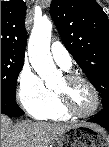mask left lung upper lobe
<instances>
[{
    "label": "left lung upper lobe",
    "mask_w": 109,
    "mask_h": 147,
    "mask_svg": "<svg viewBox=\"0 0 109 147\" xmlns=\"http://www.w3.org/2000/svg\"><path fill=\"white\" fill-rule=\"evenodd\" d=\"M51 17L66 49L109 105V19L94 0H53Z\"/></svg>",
    "instance_id": "left-lung-upper-lobe-1"
}]
</instances>
